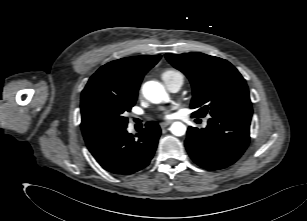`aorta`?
<instances>
[{
    "label": "aorta",
    "instance_id": "obj_1",
    "mask_svg": "<svg viewBox=\"0 0 307 221\" xmlns=\"http://www.w3.org/2000/svg\"><path fill=\"white\" fill-rule=\"evenodd\" d=\"M142 92L147 100L155 104L167 102L169 99L165 88L157 81L146 82L142 87ZM170 131L175 136H183L186 133V126L182 122H174Z\"/></svg>",
    "mask_w": 307,
    "mask_h": 221
}]
</instances>
